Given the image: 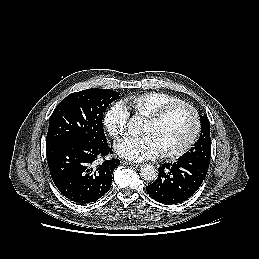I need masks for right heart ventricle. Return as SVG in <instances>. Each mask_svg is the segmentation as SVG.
Masks as SVG:
<instances>
[{
	"instance_id": "1",
	"label": "right heart ventricle",
	"mask_w": 259,
	"mask_h": 259,
	"mask_svg": "<svg viewBox=\"0 0 259 259\" xmlns=\"http://www.w3.org/2000/svg\"><path fill=\"white\" fill-rule=\"evenodd\" d=\"M181 101L180 98L164 92H146L124 100L135 115L145 118L169 104Z\"/></svg>"
}]
</instances>
